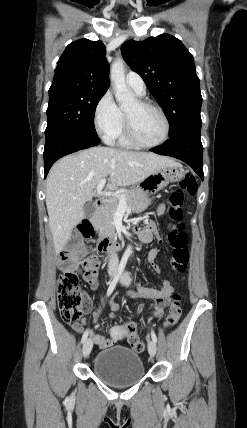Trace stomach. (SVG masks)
<instances>
[{
	"mask_svg": "<svg viewBox=\"0 0 247 428\" xmlns=\"http://www.w3.org/2000/svg\"><path fill=\"white\" fill-rule=\"evenodd\" d=\"M182 165L168 166L159 169L149 177L141 181L137 187L147 195H154L161 189L167 187L169 183L181 181L185 176Z\"/></svg>",
	"mask_w": 247,
	"mask_h": 428,
	"instance_id": "obj_1",
	"label": "stomach"
}]
</instances>
